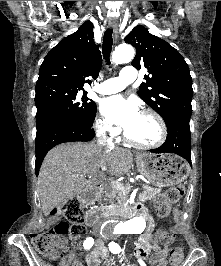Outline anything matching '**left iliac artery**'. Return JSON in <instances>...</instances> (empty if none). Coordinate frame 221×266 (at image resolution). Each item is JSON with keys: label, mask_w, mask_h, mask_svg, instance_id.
<instances>
[{"label": "left iliac artery", "mask_w": 221, "mask_h": 266, "mask_svg": "<svg viewBox=\"0 0 221 266\" xmlns=\"http://www.w3.org/2000/svg\"><path fill=\"white\" fill-rule=\"evenodd\" d=\"M109 250L113 254H117V253L122 251L121 247L117 243H115L113 241L109 243ZM139 263H140V266H146V264L142 260H139Z\"/></svg>", "instance_id": "44dca946"}]
</instances>
